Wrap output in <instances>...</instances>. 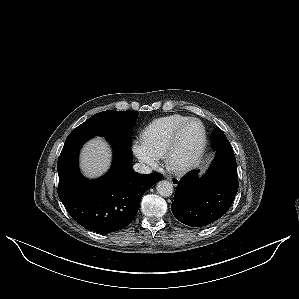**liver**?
<instances>
[{
	"instance_id": "1",
	"label": "liver",
	"mask_w": 299,
	"mask_h": 299,
	"mask_svg": "<svg viewBox=\"0 0 299 299\" xmlns=\"http://www.w3.org/2000/svg\"><path fill=\"white\" fill-rule=\"evenodd\" d=\"M111 149L102 138L88 141L80 154V166L89 178L103 175L111 165Z\"/></svg>"
}]
</instances>
